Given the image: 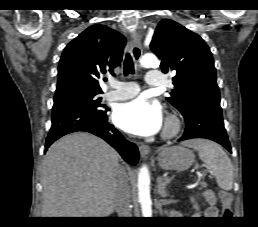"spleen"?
Returning <instances> with one entry per match:
<instances>
[{
  "mask_svg": "<svg viewBox=\"0 0 258 227\" xmlns=\"http://www.w3.org/2000/svg\"><path fill=\"white\" fill-rule=\"evenodd\" d=\"M198 151L200 159L216 177L218 186L226 191L233 188V166L223 149L207 139H191L181 143Z\"/></svg>",
  "mask_w": 258,
  "mask_h": 227,
  "instance_id": "obj_1",
  "label": "spleen"
}]
</instances>
